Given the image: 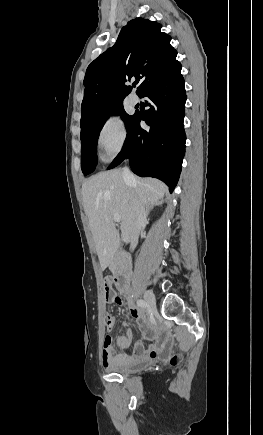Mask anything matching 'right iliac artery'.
<instances>
[{
  "label": "right iliac artery",
  "mask_w": 263,
  "mask_h": 435,
  "mask_svg": "<svg viewBox=\"0 0 263 435\" xmlns=\"http://www.w3.org/2000/svg\"><path fill=\"white\" fill-rule=\"evenodd\" d=\"M137 305H138L140 308H146V307H147V303H146V301H144V300H142V299H140V300L137 301Z\"/></svg>",
  "instance_id": "82829eb1"
}]
</instances>
